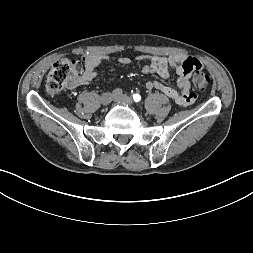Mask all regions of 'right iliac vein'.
Returning a JSON list of instances; mask_svg holds the SVG:
<instances>
[{
	"instance_id": "1",
	"label": "right iliac vein",
	"mask_w": 253,
	"mask_h": 253,
	"mask_svg": "<svg viewBox=\"0 0 253 253\" xmlns=\"http://www.w3.org/2000/svg\"><path fill=\"white\" fill-rule=\"evenodd\" d=\"M112 94L109 93V92H106V93H103L102 96H101V103L103 106H107L111 103L112 101Z\"/></svg>"
}]
</instances>
